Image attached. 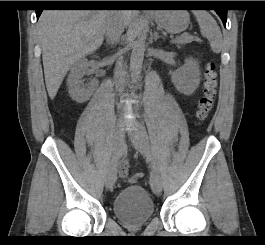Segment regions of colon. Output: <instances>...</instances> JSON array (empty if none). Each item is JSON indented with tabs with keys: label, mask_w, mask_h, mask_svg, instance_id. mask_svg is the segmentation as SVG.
Instances as JSON below:
<instances>
[{
	"label": "colon",
	"mask_w": 265,
	"mask_h": 245,
	"mask_svg": "<svg viewBox=\"0 0 265 245\" xmlns=\"http://www.w3.org/2000/svg\"><path fill=\"white\" fill-rule=\"evenodd\" d=\"M218 80L216 74V64L209 61L205 64L202 94L198 101L196 119L199 122L204 121L214 108V101L217 95ZM143 178V173L137 172L132 175L131 182L136 183Z\"/></svg>",
	"instance_id": "1"
}]
</instances>
